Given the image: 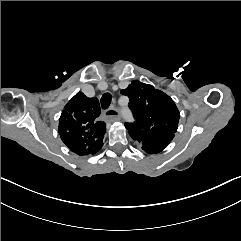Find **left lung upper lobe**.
I'll use <instances>...</instances> for the list:
<instances>
[{
  "mask_svg": "<svg viewBox=\"0 0 241 241\" xmlns=\"http://www.w3.org/2000/svg\"><path fill=\"white\" fill-rule=\"evenodd\" d=\"M121 93L129 97L135 122L126 123L130 136L147 153L162 151L177 131L179 111L173 100L153 86L133 81Z\"/></svg>",
  "mask_w": 241,
  "mask_h": 241,
  "instance_id": "obj_1",
  "label": "left lung upper lobe"
}]
</instances>
